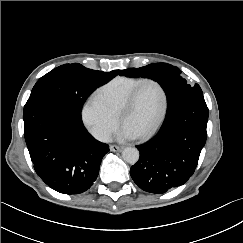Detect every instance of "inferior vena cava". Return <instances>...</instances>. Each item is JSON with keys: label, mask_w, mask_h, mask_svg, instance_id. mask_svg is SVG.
<instances>
[{"label": "inferior vena cava", "mask_w": 243, "mask_h": 243, "mask_svg": "<svg viewBox=\"0 0 243 243\" xmlns=\"http://www.w3.org/2000/svg\"><path fill=\"white\" fill-rule=\"evenodd\" d=\"M91 134L99 141L109 142L111 140V134L109 131L101 127H93L91 129Z\"/></svg>", "instance_id": "obj_1"}]
</instances>
